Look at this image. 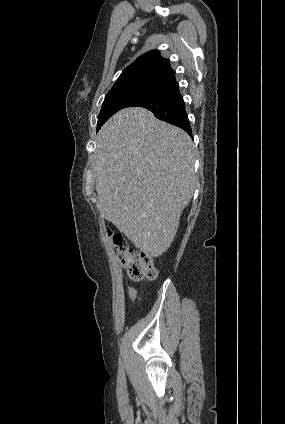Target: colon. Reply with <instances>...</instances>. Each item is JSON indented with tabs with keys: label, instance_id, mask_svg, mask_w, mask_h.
Here are the masks:
<instances>
[{
	"label": "colon",
	"instance_id": "5ec220e1",
	"mask_svg": "<svg viewBox=\"0 0 285 424\" xmlns=\"http://www.w3.org/2000/svg\"><path fill=\"white\" fill-rule=\"evenodd\" d=\"M109 238L119 257L121 265L127 270L133 281L156 279L158 270L154 258L139 250H135L125 238L116 232L109 231Z\"/></svg>",
	"mask_w": 285,
	"mask_h": 424
}]
</instances>
